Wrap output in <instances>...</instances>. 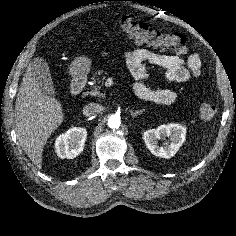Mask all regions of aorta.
Here are the masks:
<instances>
[{
    "mask_svg": "<svg viewBox=\"0 0 236 236\" xmlns=\"http://www.w3.org/2000/svg\"><path fill=\"white\" fill-rule=\"evenodd\" d=\"M121 124L120 121V117L116 116V115H112L109 119H108V126L112 129H117L119 128Z\"/></svg>",
    "mask_w": 236,
    "mask_h": 236,
    "instance_id": "762f6f07",
    "label": "aorta"
}]
</instances>
